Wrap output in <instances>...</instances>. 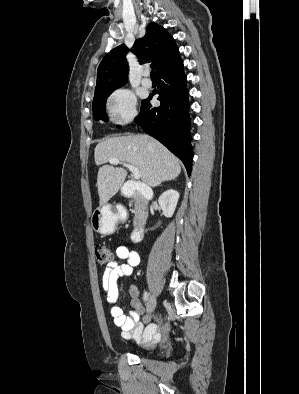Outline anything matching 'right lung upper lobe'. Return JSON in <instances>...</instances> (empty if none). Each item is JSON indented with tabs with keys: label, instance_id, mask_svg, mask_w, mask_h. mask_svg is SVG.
I'll list each match as a JSON object with an SVG mask.
<instances>
[{
	"label": "right lung upper lobe",
	"instance_id": "obj_1",
	"mask_svg": "<svg viewBox=\"0 0 299 394\" xmlns=\"http://www.w3.org/2000/svg\"><path fill=\"white\" fill-rule=\"evenodd\" d=\"M131 51L139 58L140 63L153 61L151 67L156 73L180 57L173 37L165 28L155 23L147 26L145 36L135 41ZM127 52L129 49L123 44L112 49L104 57L97 70L95 92L117 89L127 82Z\"/></svg>",
	"mask_w": 299,
	"mask_h": 394
}]
</instances>
